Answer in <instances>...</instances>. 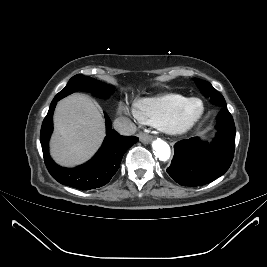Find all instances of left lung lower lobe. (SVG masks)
<instances>
[{
    "instance_id": "1",
    "label": "left lung lower lobe",
    "mask_w": 267,
    "mask_h": 267,
    "mask_svg": "<svg viewBox=\"0 0 267 267\" xmlns=\"http://www.w3.org/2000/svg\"><path fill=\"white\" fill-rule=\"evenodd\" d=\"M218 133L211 144L197 137L174 146V157L167 168L170 177L182 186H201L223 175L230 167L235 149V125L227 107L217 116Z\"/></svg>"
}]
</instances>
